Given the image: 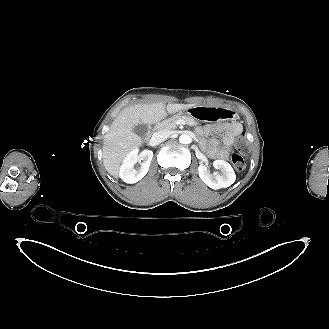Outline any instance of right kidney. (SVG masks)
I'll list each match as a JSON object with an SVG mask.
<instances>
[{
	"label": "right kidney",
	"mask_w": 329,
	"mask_h": 329,
	"mask_svg": "<svg viewBox=\"0 0 329 329\" xmlns=\"http://www.w3.org/2000/svg\"><path fill=\"white\" fill-rule=\"evenodd\" d=\"M152 158L153 152L150 150H144L140 154L137 148L131 150L124 158L120 167V178L130 184L138 182L147 174ZM137 161H142L141 166L138 169H134Z\"/></svg>",
	"instance_id": "ca27d5eb"
}]
</instances>
